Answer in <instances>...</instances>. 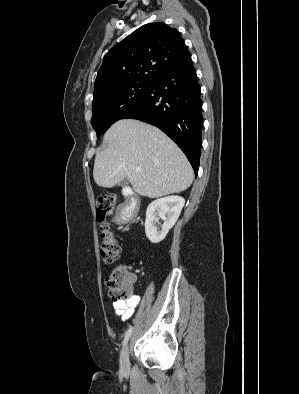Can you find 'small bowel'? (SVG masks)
Listing matches in <instances>:
<instances>
[{"label":"small bowel","mask_w":299,"mask_h":394,"mask_svg":"<svg viewBox=\"0 0 299 394\" xmlns=\"http://www.w3.org/2000/svg\"><path fill=\"white\" fill-rule=\"evenodd\" d=\"M134 279H135V276H134ZM139 300H140L139 296L134 295V296H132V298H130L127 301L113 302V308H114L116 314L119 315L123 321H126L127 319H129L132 316L136 306L139 303Z\"/></svg>","instance_id":"small-bowel-1"}]
</instances>
